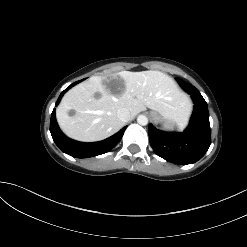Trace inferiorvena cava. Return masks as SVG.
I'll return each instance as SVG.
<instances>
[{"label": "inferior vena cava", "instance_id": "obj_1", "mask_svg": "<svg viewBox=\"0 0 247 247\" xmlns=\"http://www.w3.org/2000/svg\"><path fill=\"white\" fill-rule=\"evenodd\" d=\"M117 117L122 121V122H127L130 120V111L126 108H121L117 111Z\"/></svg>", "mask_w": 247, "mask_h": 247}]
</instances>
